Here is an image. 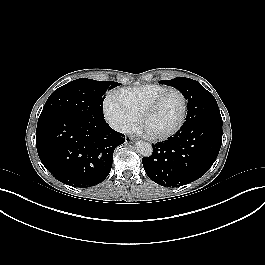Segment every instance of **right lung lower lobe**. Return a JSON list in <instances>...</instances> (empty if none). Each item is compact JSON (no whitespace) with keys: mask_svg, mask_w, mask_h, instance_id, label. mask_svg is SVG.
<instances>
[{"mask_svg":"<svg viewBox=\"0 0 265 265\" xmlns=\"http://www.w3.org/2000/svg\"><path fill=\"white\" fill-rule=\"evenodd\" d=\"M124 137L98 116L47 112L38 119L36 147L42 164L56 179L87 188L108 176L113 152Z\"/></svg>","mask_w":265,"mask_h":265,"instance_id":"98d812e1","label":"right lung lower lobe"}]
</instances>
